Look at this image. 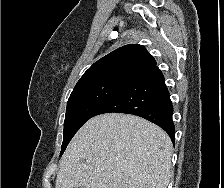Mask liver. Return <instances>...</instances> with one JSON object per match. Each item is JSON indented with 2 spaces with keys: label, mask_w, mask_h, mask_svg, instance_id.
<instances>
[{
  "label": "liver",
  "mask_w": 224,
  "mask_h": 188,
  "mask_svg": "<svg viewBox=\"0 0 224 188\" xmlns=\"http://www.w3.org/2000/svg\"><path fill=\"white\" fill-rule=\"evenodd\" d=\"M172 142L138 116L106 113L87 121L69 143L55 188H167Z\"/></svg>",
  "instance_id": "liver-1"
}]
</instances>
